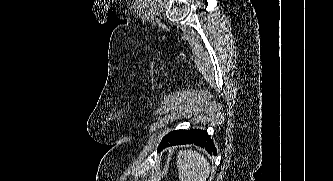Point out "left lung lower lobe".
<instances>
[{
  "label": "left lung lower lobe",
  "mask_w": 333,
  "mask_h": 181,
  "mask_svg": "<svg viewBox=\"0 0 333 181\" xmlns=\"http://www.w3.org/2000/svg\"><path fill=\"white\" fill-rule=\"evenodd\" d=\"M181 144H195L201 148H205L210 154L212 152L214 155H217L213 141L210 139L208 133L201 129H191L184 131L169 142H161L159 145V150H162L168 146Z\"/></svg>",
  "instance_id": "left-lung-lower-lobe-1"
}]
</instances>
